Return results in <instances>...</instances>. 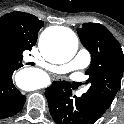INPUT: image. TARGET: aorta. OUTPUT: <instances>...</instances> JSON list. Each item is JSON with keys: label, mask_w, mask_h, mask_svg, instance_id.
<instances>
[{"label": "aorta", "mask_w": 124, "mask_h": 124, "mask_svg": "<svg viewBox=\"0 0 124 124\" xmlns=\"http://www.w3.org/2000/svg\"><path fill=\"white\" fill-rule=\"evenodd\" d=\"M41 54L51 63L63 64L70 61L77 52L78 39L73 31L62 28L54 33L44 32L39 41ZM31 71L22 70L17 76V83L27 89L34 90L37 85L30 83Z\"/></svg>", "instance_id": "obj_1"}]
</instances>
